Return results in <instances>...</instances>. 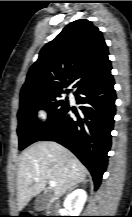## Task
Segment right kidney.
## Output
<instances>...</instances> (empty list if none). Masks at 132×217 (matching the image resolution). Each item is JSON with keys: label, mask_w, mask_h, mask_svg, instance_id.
Wrapping results in <instances>:
<instances>
[{"label": "right kidney", "mask_w": 132, "mask_h": 217, "mask_svg": "<svg viewBox=\"0 0 132 217\" xmlns=\"http://www.w3.org/2000/svg\"><path fill=\"white\" fill-rule=\"evenodd\" d=\"M87 194L83 189L73 191L64 202V207L68 210L69 216H79L86 202Z\"/></svg>", "instance_id": "ca27d5eb"}]
</instances>
